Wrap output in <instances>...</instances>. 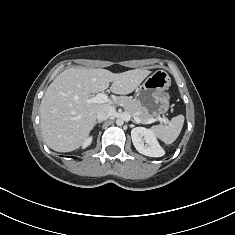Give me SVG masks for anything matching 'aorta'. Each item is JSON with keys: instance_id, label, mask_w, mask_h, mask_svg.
I'll return each instance as SVG.
<instances>
[{"instance_id": "aorta-1", "label": "aorta", "mask_w": 235, "mask_h": 235, "mask_svg": "<svg viewBox=\"0 0 235 235\" xmlns=\"http://www.w3.org/2000/svg\"><path fill=\"white\" fill-rule=\"evenodd\" d=\"M123 123H124V120L121 119V118H118V119L116 120V124H117L118 126H122Z\"/></svg>"}]
</instances>
